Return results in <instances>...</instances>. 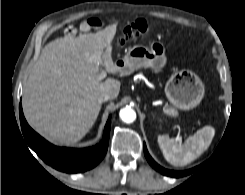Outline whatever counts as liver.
<instances>
[{
  "label": "liver",
  "mask_w": 245,
  "mask_h": 195,
  "mask_svg": "<svg viewBox=\"0 0 245 195\" xmlns=\"http://www.w3.org/2000/svg\"><path fill=\"white\" fill-rule=\"evenodd\" d=\"M117 24L96 33L58 38L48 43L34 64L23 91V111L29 125L43 137L71 145L93 127L103 94L119 95L120 82L97 80L99 65L120 74L112 60Z\"/></svg>",
  "instance_id": "1"
}]
</instances>
